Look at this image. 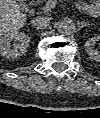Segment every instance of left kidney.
Instances as JSON below:
<instances>
[{
  "instance_id": "1",
  "label": "left kidney",
  "mask_w": 100,
  "mask_h": 118,
  "mask_svg": "<svg viewBox=\"0 0 100 118\" xmlns=\"http://www.w3.org/2000/svg\"><path fill=\"white\" fill-rule=\"evenodd\" d=\"M99 37L89 38L85 43V49L90 58L95 61H100V52L94 48V45L99 41Z\"/></svg>"
}]
</instances>
